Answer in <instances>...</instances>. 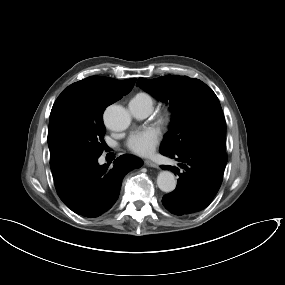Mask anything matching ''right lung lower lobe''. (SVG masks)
Segmentation results:
<instances>
[{
  "mask_svg": "<svg viewBox=\"0 0 285 285\" xmlns=\"http://www.w3.org/2000/svg\"><path fill=\"white\" fill-rule=\"evenodd\" d=\"M99 157L74 161L52 172L60 199L70 210L88 218L108 211L118 199L125 174L142 166L141 159L124 154L108 168V164H98Z\"/></svg>",
  "mask_w": 285,
  "mask_h": 285,
  "instance_id": "right-lung-lower-lobe-1",
  "label": "right lung lower lobe"
}]
</instances>
